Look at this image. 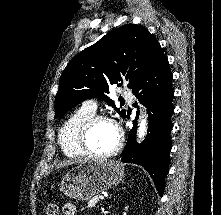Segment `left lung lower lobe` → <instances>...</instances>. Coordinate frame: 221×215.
Wrapping results in <instances>:
<instances>
[{
    "mask_svg": "<svg viewBox=\"0 0 221 215\" xmlns=\"http://www.w3.org/2000/svg\"><path fill=\"white\" fill-rule=\"evenodd\" d=\"M172 73L167 57L156 64L132 91L140 103L148 108V134L143 143L135 141L137 121L130 131L127 144L121 154V160L143 166L155 182L162 196L165 177L169 167V152L172 145L170 132L171 114L174 111L172 99Z\"/></svg>",
    "mask_w": 221,
    "mask_h": 215,
    "instance_id": "left-lung-lower-lobe-1",
    "label": "left lung lower lobe"
}]
</instances>
